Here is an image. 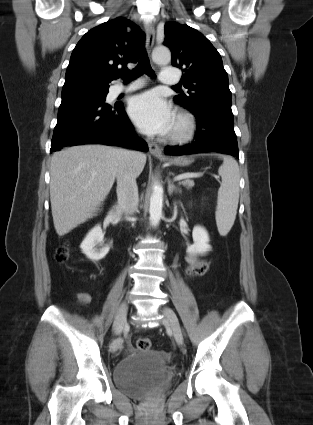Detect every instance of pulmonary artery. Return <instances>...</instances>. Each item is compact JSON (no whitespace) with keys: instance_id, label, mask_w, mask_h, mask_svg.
Instances as JSON below:
<instances>
[{"instance_id":"obj_1","label":"pulmonary artery","mask_w":313,"mask_h":425,"mask_svg":"<svg viewBox=\"0 0 313 425\" xmlns=\"http://www.w3.org/2000/svg\"><path fill=\"white\" fill-rule=\"evenodd\" d=\"M159 81L162 84L175 85L179 81V74L177 70L174 68H170V67L163 68L160 72ZM141 86L142 84L139 82H133L128 85L118 84L113 87V94L118 95L120 93L135 90Z\"/></svg>"}]
</instances>
